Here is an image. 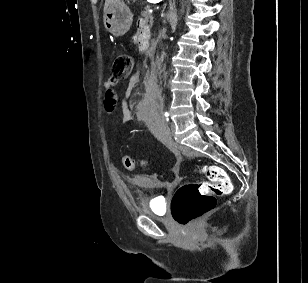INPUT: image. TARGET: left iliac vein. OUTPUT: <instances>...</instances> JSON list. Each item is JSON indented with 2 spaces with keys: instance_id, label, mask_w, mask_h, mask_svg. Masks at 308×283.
<instances>
[{
  "instance_id": "4c4485c4",
  "label": "left iliac vein",
  "mask_w": 308,
  "mask_h": 283,
  "mask_svg": "<svg viewBox=\"0 0 308 283\" xmlns=\"http://www.w3.org/2000/svg\"><path fill=\"white\" fill-rule=\"evenodd\" d=\"M175 132V124L173 122H171L169 124V126H167L165 128V131H164V137L167 139V140H172V137H173V134Z\"/></svg>"
}]
</instances>
